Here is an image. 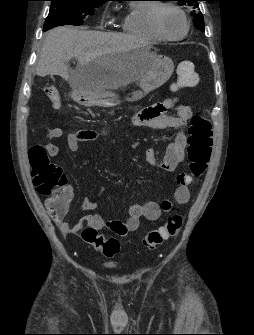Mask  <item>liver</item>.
Instances as JSON below:
<instances>
[{"label":"liver","mask_w":254,"mask_h":335,"mask_svg":"<svg viewBox=\"0 0 254 335\" xmlns=\"http://www.w3.org/2000/svg\"><path fill=\"white\" fill-rule=\"evenodd\" d=\"M142 45L127 34L56 27L46 34L36 73L41 77L58 75L73 89L87 85L103 91L117 89L139 80L150 69L151 56L119 57ZM72 58L77 59L78 65L70 71L68 62ZM100 59H107L100 68L87 67Z\"/></svg>","instance_id":"1"}]
</instances>
